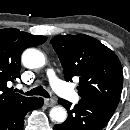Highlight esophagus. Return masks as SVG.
Instances as JSON below:
<instances>
[{
	"label": "esophagus",
	"mask_w": 130,
	"mask_h": 130,
	"mask_svg": "<svg viewBox=\"0 0 130 130\" xmlns=\"http://www.w3.org/2000/svg\"><path fill=\"white\" fill-rule=\"evenodd\" d=\"M44 104L47 106V107H52L56 104V101L53 100V99H45L44 100Z\"/></svg>",
	"instance_id": "34e87169"
}]
</instances>
